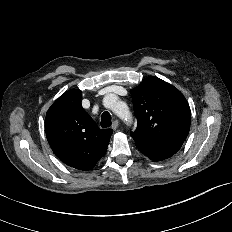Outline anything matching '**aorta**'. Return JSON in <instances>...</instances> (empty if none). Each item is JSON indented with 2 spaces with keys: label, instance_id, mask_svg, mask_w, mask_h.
Segmentation results:
<instances>
[{
  "label": "aorta",
  "instance_id": "1",
  "mask_svg": "<svg viewBox=\"0 0 232 232\" xmlns=\"http://www.w3.org/2000/svg\"><path fill=\"white\" fill-rule=\"evenodd\" d=\"M104 105L111 110L126 124L130 125L132 123V115L129 111L128 106L121 102L116 95H109L104 98Z\"/></svg>",
  "mask_w": 232,
  "mask_h": 232
}]
</instances>
